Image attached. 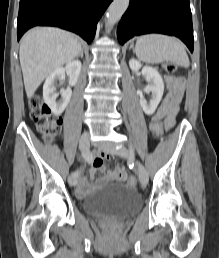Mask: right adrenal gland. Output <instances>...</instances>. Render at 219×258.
I'll use <instances>...</instances> for the list:
<instances>
[{
  "instance_id": "right-adrenal-gland-1",
  "label": "right adrenal gland",
  "mask_w": 219,
  "mask_h": 258,
  "mask_svg": "<svg viewBox=\"0 0 219 258\" xmlns=\"http://www.w3.org/2000/svg\"><path fill=\"white\" fill-rule=\"evenodd\" d=\"M79 56L83 58V49H81Z\"/></svg>"
}]
</instances>
